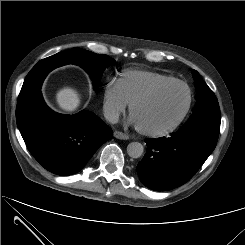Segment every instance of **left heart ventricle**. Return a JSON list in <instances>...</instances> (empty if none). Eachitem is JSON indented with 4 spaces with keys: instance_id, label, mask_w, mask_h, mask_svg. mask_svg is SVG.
<instances>
[{
    "instance_id": "obj_1",
    "label": "left heart ventricle",
    "mask_w": 245,
    "mask_h": 245,
    "mask_svg": "<svg viewBox=\"0 0 245 245\" xmlns=\"http://www.w3.org/2000/svg\"><path fill=\"white\" fill-rule=\"evenodd\" d=\"M188 92L182 85H171L152 99L138 105L132 114L138 127L158 131L173 124L186 107Z\"/></svg>"
}]
</instances>
